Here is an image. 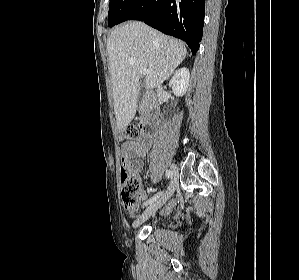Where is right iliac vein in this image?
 I'll use <instances>...</instances> for the list:
<instances>
[{"label":"right iliac vein","mask_w":299,"mask_h":280,"mask_svg":"<svg viewBox=\"0 0 299 280\" xmlns=\"http://www.w3.org/2000/svg\"><path fill=\"white\" fill-rule=\"evenodd\" d=\"M171 173H172V179H171L170 185H169L167 191L165 192V194H163L160 199H158L154 203L150 204V206L134 222V224H133L134 227H137L140 224H142L144 221H146L159 208H161L166 203V201L173 195L174 191L178 187V169L174 164L171 165Z\"/></svg>","instance_id":"right-iliac-vein-1"}]
</instances>
